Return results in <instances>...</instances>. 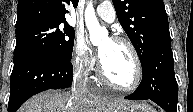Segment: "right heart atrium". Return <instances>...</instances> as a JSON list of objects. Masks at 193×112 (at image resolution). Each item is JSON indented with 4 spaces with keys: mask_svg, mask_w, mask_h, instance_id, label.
<instances>
[{
    "mask_svg": "<svg viewBox=\"0 0 193 112\" xmlns=\"http://www.w3.org/2000/svg\"><path fill=\"white\" fill-rule=\"evenodd\" d=\"M71 62L74 71L83 76L89 75L94 68V58L84 39L80 36L75 41Z\"/></svg>",
    "mask_w": 193,
    "mask_h": 112,
    "instance_id": "d8ad5b80",
    "label": "right heart atrium"
}]
</instances>
